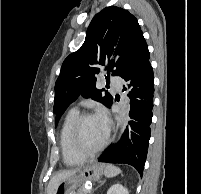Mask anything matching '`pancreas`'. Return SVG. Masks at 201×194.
<instances>
[{
  "instance_id": "pancreas-1",
  "label": "pancreas",
  "mask_w": 201,
  "mask_h": 194,
  "mask_svg": "<svg viewBox=\"0 0 201 194\" xmlns=\"http://www.w3.org/2000/svg\"><path fill=\"white\" fill-rule=\"evenodd\" d=\"M75 194H90L89 192H87L86 190H85V188H80Z\"/></svg>"
}]
</instances>
